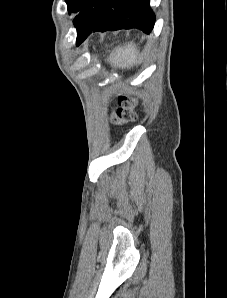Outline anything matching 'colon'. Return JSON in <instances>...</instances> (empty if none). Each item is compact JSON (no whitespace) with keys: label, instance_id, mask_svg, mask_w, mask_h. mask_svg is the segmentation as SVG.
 <instances>
[{"label":"colon","instance_id":"obj_1","mask_svg":"<svg viewBox=\"0 0 227 298\" xmlns=\"http://www.w3.org/2000/svg\"><path fill=\"white\" fill-rule=\"evenodd\" d=\"M136 106L137 100L134 97L120 96L117 109L111 116L112 122L117 125L135 122L137 120Z\"/></svg>","mask_w":227,"mask_h":298}]
</instances>
